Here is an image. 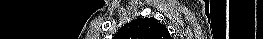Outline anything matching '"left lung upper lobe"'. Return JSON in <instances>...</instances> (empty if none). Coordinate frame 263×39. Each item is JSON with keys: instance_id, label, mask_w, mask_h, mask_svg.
Returning <instances> with one entry per match:
<instances>
[{"instance_id": "5c2ea615", "label": "left lung upper lobe", "mask_w": 263, "mask_h": 39, "mask_svg": "<svg viewBox=\"0 0 263 39\" xmlns=\"http://www.w3.org/2000/svg\"><path fill=\"white\" fill-rule=\"evenodd\" d=\"M116 39H171L168 29L153 17L133 20L124 25Z\"/></svg>"}]
</instances>
